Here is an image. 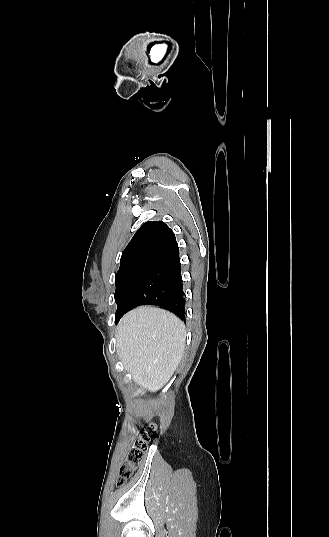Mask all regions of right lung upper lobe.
Instances as JSON below:
<instances>
[{"mask_svg":"<svg viewBox=\"0 0 329 537\" xmlns=\"http://www.w3.org/2000/svg\"><path fill=\"white\" fill-rule=\"evenodd\" d=\"M177 245L173 231L162 221H148L135 233L122 253L120 267L134 262H152Z\"/></svg>","mask_w":329,"mask_h":537,"instance_id":"obj_1","label":"right lung upper lobe"}]
</instances>
